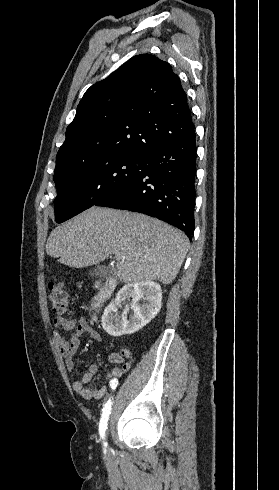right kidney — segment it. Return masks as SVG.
I'll return each instance as SVG.
<instances>
[{
  "label": "right kidney",
  "instance_id": "obj_1",
  "mask_svg": "<svg viewBox=\"0 0 279 490\" xmlns=\"http://www.w3.org/2000/svg\"><path fill=\"white\" fill-rule=\"evenodd\" d=\"M128 298H132V302L129 306H125V310L119 316L118 310ZM140 300H147V304L140 306ZM161 304L162 290L157 282L143 280L135 284H125L119 290L115 300H112L105 308L101 326L107 334L114 338H119L124 334H134L157 316L161 310ZM129 310H131V316L127 318Z\"/></svg>",
  "mask_w": 279,
  "mask_h": 490
}]
</instances>
